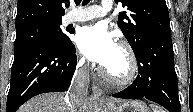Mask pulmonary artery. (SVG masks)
Masks as SVG:
<instances>
[{
    "instance_id": "pulmonary-artery-1",
    "label": "pulmonary artery",
    "mask_w": 193,
    "mask_h": 112,
    "mask_svg": "<svg viewBox=\"0 0 193 112\" xmlns=\"http://www.w3.org/2000/svg\"><path fill=\"white\" fill-rule=\"evenodd\" d=\"M113 7L111 0H104L101 5H92L82 10L69 13L64 20L65 24L83 22L106 15Z\"/></svg>"
}]
</instances>
